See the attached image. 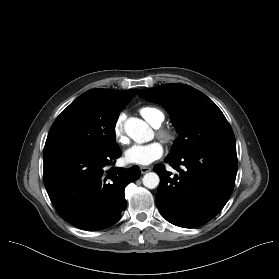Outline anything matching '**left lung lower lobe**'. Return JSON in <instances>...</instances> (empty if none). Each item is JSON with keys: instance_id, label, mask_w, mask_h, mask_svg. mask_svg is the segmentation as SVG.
Returning <instances> with one entry per match:
<instances>
[{"instance_id": "0a47b994", "label": "left lung lower lobe", "mask_w": 279, "mask_h": 279, "mask_svg": "<svg viewBox=\"0 0 279 279\" xmlns=\"http://www.w3.org/2000/svg\"><path fill=\"white\" fill-rule=\"evenodd\" d=\"M165 162L179 172L172 176L161 164L153 168L160 177L156 204L167 221L179 227L195 228L222 210L235 184V144L199 147L180 156L168 155Z\"/></svg>"}]
</instances>
